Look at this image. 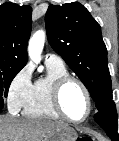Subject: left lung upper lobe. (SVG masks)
Wrapping results in <instances>:
<instances>
[{
    "mask_svg": "<svg viewBox=\"0 0 119 141\" xmlns=\"http://www.w3.org/2000/svg\"><path fill=\"white\" fill-rule=\"evenodd\" d=\"M45 24L51 47L89 90L97 110L113 102L107 49L89 11L78 2L50 5Z\"/></svg>",
    "mask_w": 119,
    "mask_h": 141,
    "instance_id": "obj_1",
    "label": "left lung upper lobe"
}]
</instances>
